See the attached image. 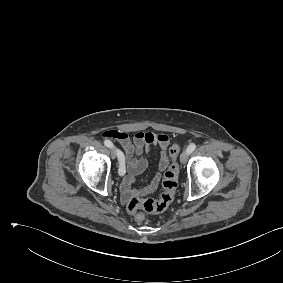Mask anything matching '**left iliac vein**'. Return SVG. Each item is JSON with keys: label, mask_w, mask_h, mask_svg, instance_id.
<instances>
[{"label": "left iliac vein", "mask_w": 283, "mask_h": 283, "mask_svg": "<svg viewBox=\"0 0 283 283\" xmlns=\"http://www.w3.org/2000/svg\"><path fill=\"white\" fill-rule=\"evenodd\" d=\"M189 153L187 151H184L180 156V161L182 164H185L187 162Z\"/></svg>", "instance_id": "1"}]
</instances>
